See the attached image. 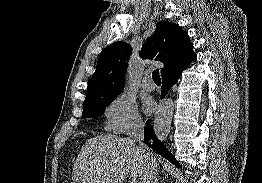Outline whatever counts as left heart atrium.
I'll return each instance as SVG.
<instances>
[{
    "label": "left heart atrium",
    "instance_id": "left-heart-atrium-1",
    "mask_svg": "<svg viewBox=\"0 0 262 183\" xmlns=\"http://www.w3.org/2000/svg\"><path fill=\"white\" fill-rule=\"evenodd\" d=\"M154 109V103L151 99L147 98L143 102V110L146 114H150Z\"/></svg>",
    "mask_w": 262,
    "mask_h": 183
}]
</instances>
